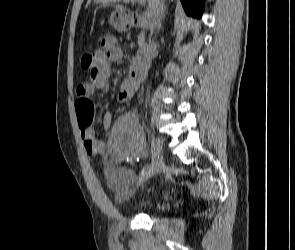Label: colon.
I'll list each match as a JSON object with an SVG mask.
<instances>
[{"mask_svg": "<svg viewBox=\"0 0 295 250\" xmlns=\"http://www.w3.org/2000/svg\"><path fill=\"white\" fill-rule=\"evenodd\" d=\"M81 66L86 70H92L95 66L93 54L86 53L81 57ZM78 123L81 129L91 126L95 116L93 102L89 98L78 99L75 104Z\"/></svg>", "mask_w": 295, "mask_h": 250, "instance_id": "colon-1", "label": "colon"}]
</instances>
